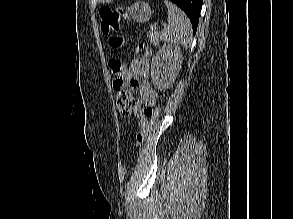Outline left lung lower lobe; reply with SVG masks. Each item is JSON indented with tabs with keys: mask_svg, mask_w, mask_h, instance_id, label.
Wrapping results in <instances>:
<instances>
[{
	"mask_svg": "<svg viewBox=\"0 0 293 219\" xmlns=\"http://www.w3.org/2000/svg\"><path fill=\"white\" fill-rule=\"evenodd\" d=\"M178 5L189 17L193 33H196L203 0H170Z\"/></svg>",
	"mask_w": 293,
	"mask_h": 219,
	"instance_id": "0a47b994",
	"label": "left lung lower lobe"
}]
</instances>
